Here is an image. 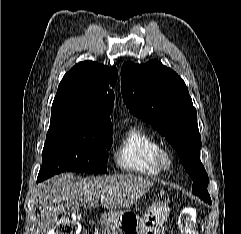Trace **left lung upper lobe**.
I'll return each mask as SVG.
<instances>
[{
	"label": "left lung upper lobe",
	"mask_w": 241,
	"mask_h": 234,
	"mask_svg": "<svg viewBox=\"0 0 241 234\" xmlns=\"http://www.w3.org/2000/svg\"><path fill=\"white\" fill-rule=\"evenodd\" d=\"M121 92L129 111L151 124L175 148L190 177L193 194L212 204L208 175L200 161L197 113L185 82L158 60L121 68Z\"/></svg>",
	"instance_id": "obj_1"
}]
</instances>
